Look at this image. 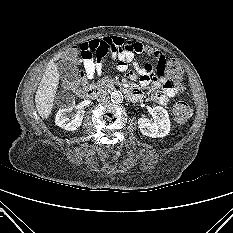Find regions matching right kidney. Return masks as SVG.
I'll return each mask as SVG.
<instances>
[{"instance_id": "1", "label": "right kidney", "mask_w": 233, "mask_h": 233, "mask_svg": "<svg viewBox=\"0 0 233 233\" xmlns=\"http://www.w3.org/2000/svg\"><path fill=\"white\" fill-rule=\"evenodd\" d=\"M74 104L75 101H72L68 107L60 109L56 114V125L67 131H73L79 128L82 124V120L84 117V110H78L77 113L71 119L68 117V113L71 112Z\"/></svg>"}]
</instances>
